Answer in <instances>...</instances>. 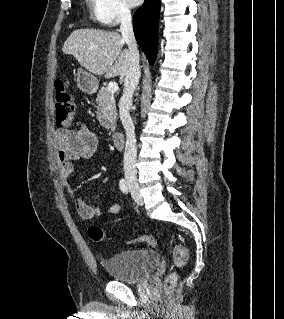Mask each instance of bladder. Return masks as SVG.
Returning <instances> with one entry per match:
<instances>
[{"mask_svg": "<svg viewBox=\"0 0 284 319\" xmlns=\"http://www.w3.org/2000/svg\"><path fill=\"white\" fill-rule=\"evenodd\" d=\"M103 264L113 279L134 282L149 275L158 266L159 256L150 249L125 250L105 259Z\"/></svg>", "mask_w": 284, "mask_h": 319, "instance_id": "obj_1", "label": "bladder"}]
</instances>
